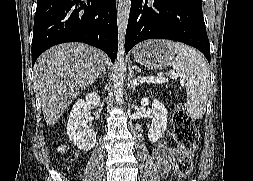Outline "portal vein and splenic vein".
<instances>
[{
    "label": "portal vein and splenic vein",
    "instance_id": "portal-vein-and-splenic-vein-1",
    "mask_svg": "<svg viewBox=\"0 0 253 181\" xmlns=\"http://www.w3.org/2000/svg\"><path fill=\"white\" fill-rule=\"evenodd\" d=\"M173 78H175V76H173ZM168 81V79H159L158 82H165Z\"/></svg>",
    "mask_w": 253,
    "mask_h": 181
}]
</instances>
